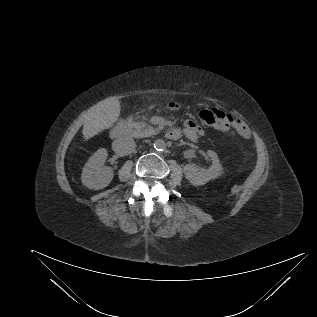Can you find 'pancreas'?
Listing matches in <instances>:
<instances>
[{
    "label": "pancreas",
    "instance_id": "obj_1",
    "mask_svg": "<svg viewBox=\"0 0 317 317\" xmlns=\"http://www.w3.org/2000/svg\"><path fill=\"white\" fill-rule=\"evenodd\" d=\"M141 117L137 116L135 120L130 118L125 126V133L131 137L143 138L156 133V129L144 121H140ZM142 119H144L142 117Z\"/></svg>",
    "mask_w": 317,
    "mask_h": 317
}]
</instances>
